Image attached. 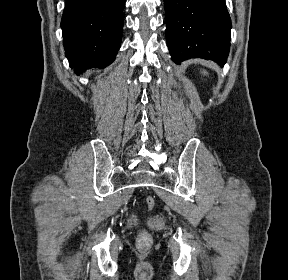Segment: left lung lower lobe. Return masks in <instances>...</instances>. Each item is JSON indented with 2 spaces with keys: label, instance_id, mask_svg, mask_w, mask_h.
I'll use <instances>...</instances> for the list:
<instances>
[{
  "label": "left lung lower lobe",
  "instance_id": "0a47b994",
  "mask_svg": "<svg viewBox=\"0 0 288 280\" xmlns=\"http://www.w3.org/2000/svg\"><path fill=\"white\" fill-rule=\"evenodd\" d=\"M167 45L175 63L190 58L221 66L230 48L231 19L225 0H164Z\"/></svg>",
  "mask_w": 288,
  "mask_h": 280
}]
</instances>
